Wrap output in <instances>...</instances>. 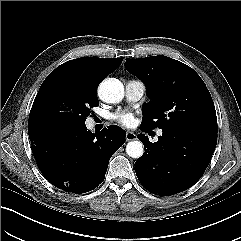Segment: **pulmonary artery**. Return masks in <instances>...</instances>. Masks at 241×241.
Segmentation results:
<instances>
[{"label": "pulmonary artery", "instance_id": "1", "mask_svg": "<svg viewBox=\"0 0 241 241\" xmlns=\"http://www.w3.org/2000/svg\"><path fill=\"white\" fill-rule=\"evenodd\" d=\"M146 91V85L141 80L131 79L125 86L126 99L129 102H136L142 98ZM161 134V132H159Z\"/></svg>", "mask_w": 241, "mask_h": 241}]
</instances>
